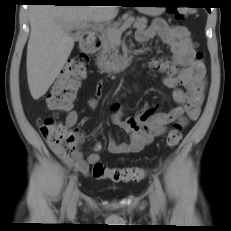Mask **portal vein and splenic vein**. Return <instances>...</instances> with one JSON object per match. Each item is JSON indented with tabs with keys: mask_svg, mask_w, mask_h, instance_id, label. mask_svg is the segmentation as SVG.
<instances>
[{
	"mask_svg": "<svg viewBox=\"0 0 231 231\" xmlns=\"http://www.w3.org/2000/svg\"><path fill=\"white\" fill-rule=\"evenodd\" d=\"M132 20H129L127 22H125L119 29L117 30H110L109 33L111 35V37L115 40H118L121 38V35L124 31H126L128 29V27L132 24ZM95 25H98V27L100 29H103V25L99 24V23H95ZM90 26L89 22H83L81 25H76L75 28H79V29H86L87 27ZM74 28H69V31L73 30Z\"/></svg>",
	"mask_w": 231,
	"mask_h": 231,
	"instance_id": "18ae733b",
	"label": "portal vein and splenic vein"
}]
</instances>
